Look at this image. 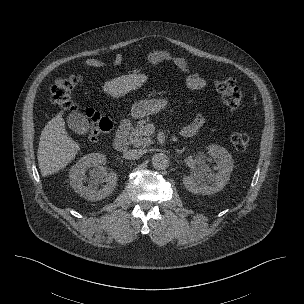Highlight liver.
<instances>
[{
	"instance_id": "obj_1",
	"label": "liver",
	"mask_w": 304,
	"mask_h": 304,
	"mask_svg": "<svg viewBox=\"0 0 304 304\" xmlns=\"http://www.w3.org/2000/svg\"><path fill=\"white\" fill-rule=\"evenodd\" d=\"M146 81L147 76L143 74L123 75L105 83L103 90L118 98L141 87ZM62 116L63 111L53 117L41 132L37 157L44 177L65 168L80 150V145L68 135Z\"/></svg>"
}]
</instances>
